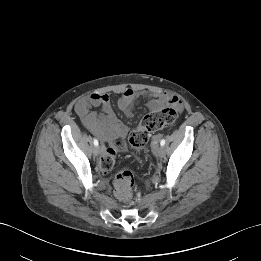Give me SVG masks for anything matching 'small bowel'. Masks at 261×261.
Returning a JSON list of instances; mask_svg holds the SVG:
<instances>
[{"label":"small bowel","mask_w":261,"mask_h":261,"mask_svg":"<svg viewBox=\"0 0 261 261\" xmlns=\"http://www.w3.org/2000/svg\"><path fill=\"white\" fill-rule=\"evenodd\" d=\"M144 97L147 99V107L150 111L158 110L164 105H169L178 111L182 110L181 99L169 92L148 93L126 88L118 100L119 109L127 116H131L135 102ZM100 107L98 114L92 108ZM76 112L84 126L103 142H111L118 138H126L129 128L115 115L111 99L107 94L92 93L78 100Z\"/></svg>","instance_id":"c3829d8e"}]
</instances>
